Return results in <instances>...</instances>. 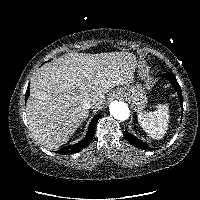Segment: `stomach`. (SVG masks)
Segmentation results:
<instances>
[{
    "label": "stomach",
    "mask_w": 200,
    "mask_h": 200,
    "mask_svg": "<svg viewBox=\"0 0 200 200\" xmlns=\"http://www.w3.org/2000/svg\"><path fill=\"white\" fill-rule=\"evenodd\" d=\"M114 93L129 99L136 110L143 109L147 103L145 90L141 84L126 85L117 89Z\"/></svg>",
    "instance_id": "obj_1"
}]
</instances>
